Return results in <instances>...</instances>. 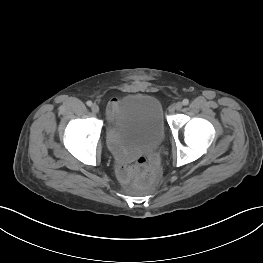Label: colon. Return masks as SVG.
<instances>
[{"mask_svg":"<svg viewBox=\"0 0 263 263\" xmlns=\"http://www.w3.org/2000/svg\"><path fill=\"white\" fill-rule=\"evenodd\" d=\"M138 183L142 186H151L157 176V168L154 162L148 163L140 158L136 164Z\"/></svg>","mask_w":263,"mask_h":263,"instance_id":"5ec220e1","label":"colon"}]
</instances>
